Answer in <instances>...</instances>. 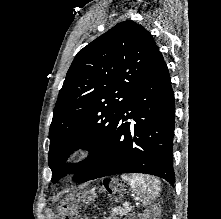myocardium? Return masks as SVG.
Returning a JSON list of instances; mask_svg holds the SVG:
<instances>
[{"mask_svg":"<svg viewBox=\"0 0 221 219\" xmlns=\"http://www.w3.org/2000/svg\"><path fill=\"white\" fill-rule=\"evenodd\" d=\"M89 153V149L85 144L76 145L71 149L65 159L66 165H75L84 159Z\"/></svg>","mask_w":221,"mask_h":219,"instance_id":"f54148a6","label":"myocardium"}]
</instances>
